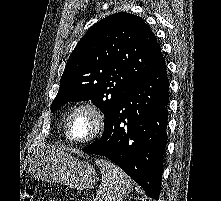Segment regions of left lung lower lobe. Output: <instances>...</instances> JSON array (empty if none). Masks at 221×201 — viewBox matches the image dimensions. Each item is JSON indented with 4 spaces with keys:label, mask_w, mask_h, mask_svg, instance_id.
<instances>
[{
    "label": "left lung lower lobe",
    "mask_w": 221,
    "mask_h": 201,
    "mask_svg": "<svg viewBox=\"0 0 221 201\" xmlns=\"http://www.w3.org/2000/svg\"><path fill=\"white\" fill-rule=\"evenodd\" d=\"M168 88L163 60L117 105L101 139L83 149L113 161L156 200L167 142Z\"/></svg>",
    "instance_id": "left-lung-lower-lobe-1"
}]
</instances>
